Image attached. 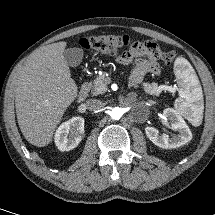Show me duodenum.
Masks as SVG:
<instances>
[{"instance_id":"obj_1","label":"duodenum","mask_w":215,"mask_h":215,"mask_svg":"<svg viewBox=\"0 0 215 215\" xmlns=\"http://www.w3.org/2000/svg\"><path fill=\"white\" fill-rule=\"evenodd\" d=\"M88 93H89V82L85 81L82 84L81 89L78 93V96H77L78 102H83L87 98Z\"/></svg>"}]
</instances>
